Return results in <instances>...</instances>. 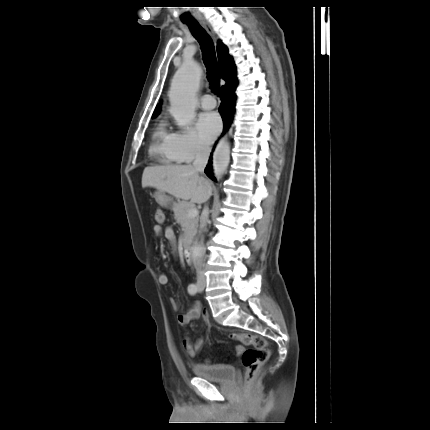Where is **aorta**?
Here are the masks:
<instances>
[{"label":"aorta","instance_id":"aorta-1","mask_svg":"<svg viewBox=\"0 0 430 430\" xmlns=\"http://www.w3.org/2000/svg\"><path fill=\"white\" fill-rule=\"evenodd\" d=\"M201 78V68L195 62H187L176 72L169 91L170 113L179 127L188 126L195 118L196 94ZM230 161V144L226 138L219 140L213 154V170L222 176ZM205 254L202 244L195 242L191 248V260L198 263Z\"/></svg>","mask_w":430,"mask_h":430}]
</instances>
